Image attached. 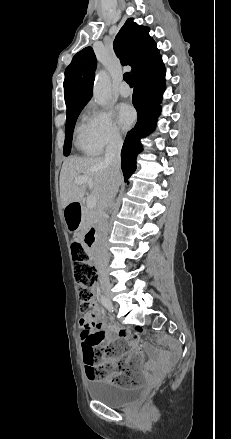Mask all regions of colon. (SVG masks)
<instances>
[{"label":"colon","instance_id":"1","mask_svg":"<svg viewBox=\"0 0 231 439\" xmlns=\"http://www.w3.org/2000/svg\"><path fill=\"white\" fill-rule=\"evenodd\" d=\"M73 271L77 282V290L80 299V309L82 312H88L91 308L92 287L96 283L98 273L96 268L90 263V257L78 242L71 246ZM125 350L122 342H115L105 350L98 347L87 346L83 351L84 365L87 376L90 380H109L120 386H133L138 382L130 369L118 370L112 375V370L117 367L109 362H102L103 359L117 358Z\"/></svg>","mask_w":231,"mask_h":439}]
</instances>
